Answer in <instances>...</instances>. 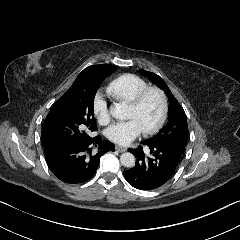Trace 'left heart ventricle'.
<instances>
[{
    "mask_svg": "<svg viewBox=\"0 0 240 240\" xmlns=\"http://www.w3.org/2000/svg\"><path fill=\"white\" fill-rule=\"evenodd\" d=\"M160 116V101L155 93H149L137 109L127 107L125 119L135 120L142 130L153 127Z\"/></svg>",
    "mask_w": 240,
    "mask_h": 240,
    "instance_id": "left-heart-ventricle-1",
    "label": "left heart ventricle"
}]
</instances>
